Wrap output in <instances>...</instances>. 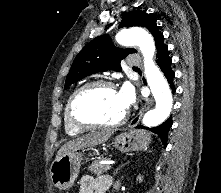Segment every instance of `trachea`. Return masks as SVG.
Listing matches in <instances>:
<instances>
[{"label": "trachea", "instance_id": "1", "mask_svg": "<svg viewBox=\"0 0 221 193\" xmlns=\"http://www.w3.org/2000/svg\"><path fill=\"white\" fill-rule=\"evenodd\" d=\"M133 69H138L137 67H133Z\"/></svg>", "mask_w": 221, "mask_h": 193}]
</instances>
